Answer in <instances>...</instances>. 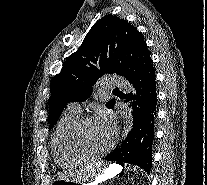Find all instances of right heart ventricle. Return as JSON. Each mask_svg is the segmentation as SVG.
<instances>
[{
  "label": "right heart ventricle",
  "instance_id": "right-heart-ventricle-1",
  "mask_svg": "<svg viewBox=\"0 0 207 185\" xmlns=\"http://www.w3.org/2000/svg\"><path fill=\"white\" fill-rule=\"evenodd\" d=\"M78 119V113L67 112L59 120L52 136L54 157L60 165H77L91 158V156L77 151L71 144V130Z\"/></svg>",
  "mask_w": 207,
  "mask_h": 185
}]
</instances>
